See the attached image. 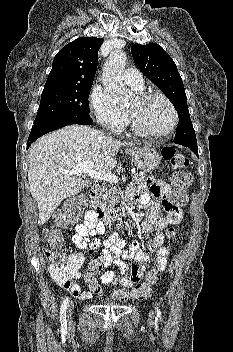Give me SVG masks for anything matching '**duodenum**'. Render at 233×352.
I'll use <instances>...</instances> for the list:
<instances>
[{
    "label": "duodenum",
    "instance_id": "duodenum-1",
    "mask_svg": "<svg viewBox=\"0 0 233 352\" xmlns=\"http://www.w3.org/2000/svg\"><path fill=\"white\" fill-rule=\"evenodd\" d=\"M98 191H99L98 185L95 184L91 186L88 191V199L94 208L93 211L95 213L96 219L99 222V224H101L102 226H107L117 220L122 219L126 214V210L124 207H116V208L107 210L99 207L95 203V198Z\"/></svg>",
    "mask_w": 233,
    "mask_h": 352
}]
</instances>
